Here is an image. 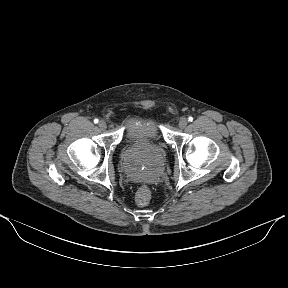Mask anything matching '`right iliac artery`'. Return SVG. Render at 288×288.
Returning <instances> with one entry per match:
<instances>
[{
    "label": "right iliac artery",
    "instance_id": "1",
    "mask_svg": "<svg viewBox=\"0 0 288 288\" xmlns=\"http://www.w3.org/2000/svg\"><path fill=\"white\" fill-rule=\"evenodd\" d=\"M99 122L98 119H94V123L97 124Z\"/></svg>",
    "mask_w": 288,
    "mask_h": 288
}]
</instances>
